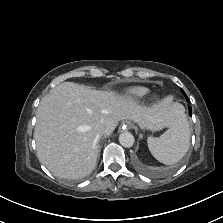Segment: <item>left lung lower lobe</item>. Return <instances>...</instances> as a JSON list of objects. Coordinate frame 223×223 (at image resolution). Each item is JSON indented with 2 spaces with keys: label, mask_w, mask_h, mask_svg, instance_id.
Returning <instances> with one entry per match:
<instances>
[{
  "label": "left lung lower lobe",
  "mask_w": 223,
  "mask_h": 223,
  "mask_svg": "<svg viewBox=\"0 0 223 223\" xmlns=\"http://www.w3.org/2000/svg\"><path fill=\"white\" fill-rule=\"evenodd\" d=\"M187 100H188V98H187ZM189 113H190V116H192V109H191V107H189Z\"/></svg>",
  "instance_id": "obj_1"
}]
</instances>
